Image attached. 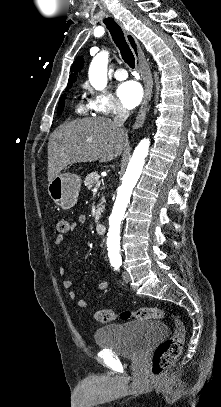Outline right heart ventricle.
<instances>
[{"instance_id":"obj_1","label":"right heart ventricle","mask_w":221,"mask_h":407,"mask_svg":"<svg viewBox=\"0 0 221 407\" xmlns=\"http://www.w3.org/2000/svg\"><path fill=\"white\" fill-rule=\"evenodd\" d=\"M74 110L79 115H88L91 107L89 103H85L83 100L80 99L76 101Z\"/></svg>"}]
</instances>
